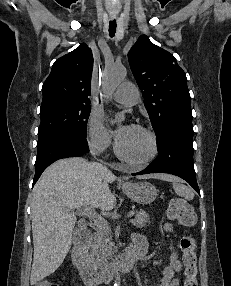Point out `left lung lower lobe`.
Returning <instances> with one entry per match:
<instances>
[{"label":"left lung lower lobe","instance_id":"obj_1","mask_svg":"<svg viewBox=\"0 0 231 286\" xmlns=\"http://www.w3.org/2000/svg\"><path fill=\"white\" fill-rule=\"evenodd\" d=\"M156 136L158 157L146 169L132 175L173 174L186 180L200 194L193 165L192 121H170Z\"/></svg>","mask_w":231,"mask_h":286}]
</instances>
